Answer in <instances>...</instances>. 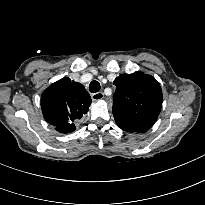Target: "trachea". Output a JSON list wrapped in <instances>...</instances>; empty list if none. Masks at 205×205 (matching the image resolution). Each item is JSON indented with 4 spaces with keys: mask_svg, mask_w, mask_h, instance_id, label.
<instances>
[{
    "mask_svg": "<svg viewBox=\"0 0 205 205\" xmlns=\"http://www.w3.org/2000/svg\"><path fill=\"white\" fill-rule=\"evenodd\" d=\"M89 90L91 93H97L100 90V83L98 81H92L89 85Z\"/></svg>",
    "mask_w": 205,
    "mask_h": 205,
    "instance_id": "1",
    "label": "trachea"
}]
</instances>
